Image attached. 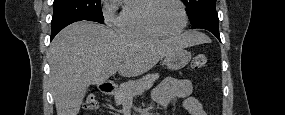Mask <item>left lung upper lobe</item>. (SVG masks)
Masks as SVG:
<instances>
[{
  "instance_id": "left-lung-upper-lobe-1",
  "label": "left lung upper lobe",
  "mask_w": 285,
  "mask_h": 115,
  "mask_svg": "<svg viewBox=\"0 0 285 115\" xmlns=\"http://www.w3.org/2000/svg\"><path fill=\"white\" fill-rule=\"evenodd\" d=\"M182 2L186 6V12L191 24L202 15L216 12V0H182Z\"/></svg>"
}]
</instances>
